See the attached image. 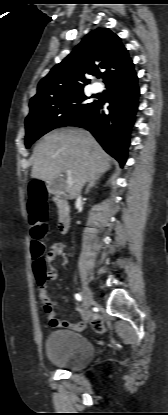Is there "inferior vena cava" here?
<instances>
[{
  "label": "inferior vena cava",
  "instance_id": "inferior-vena-cava-1",
  "mask_svg": "<svg viewBox=\"0 0 168 415\" xmlns=\"http://www.w3.org/2000/svg\"><path fill=\"white\" fill-rule=\"evenodd\" d=\"M78 199H80V195H78Z\"/></svg>",
  "mask_w": 168,
  "mask_h": 415
}]
</instances>
